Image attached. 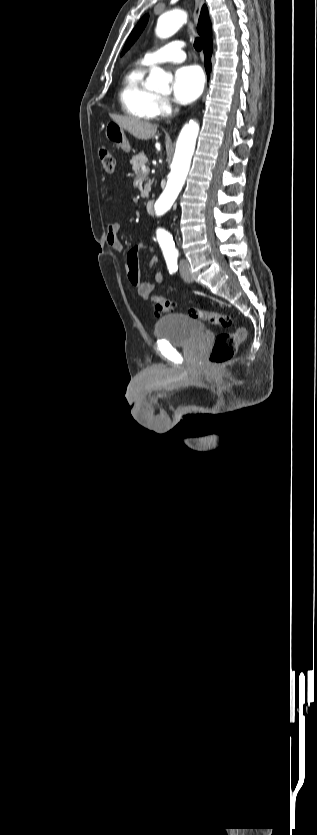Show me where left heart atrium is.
<instances>
[{"label":"left heart atrium","instance_id":"obj_1","mask_svg":"<svg viewBox=\"0 0 317 835\" xmlns=\"http://www.w3.org/2000/svg\"><path fill=\"white\" fill-rule=\"evenodd\" d=\"M203 85L204 76L198 66H182L174 75L172 84L174 98L181 104H188L201 94Z\"/></svg>","mask_w":317,"mask_h":835}]
</instances>
